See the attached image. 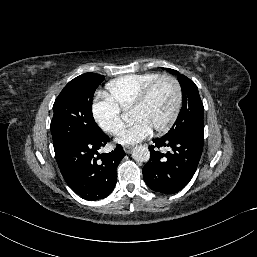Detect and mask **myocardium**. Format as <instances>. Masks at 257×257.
I'll return each instance as SVG.
<instances>
[{
  "label": "myocardium",
  "mask_w": 257,
  "mask_h": 257,
  "mask_svg": "<svg viewBox=\"0 0 257 257\" xmlns=\"http://www.w3.org/2000/svg\"><path fill=\"white\" fill-rule=\"evenodd\" d=\"M162 81H170L175 88V93H176V99H175V104L173 111L167 120V122L156 128L154 131L156 133H164L168 131L175 121L177 120V117L180 113L181 107H182V102H183V92H182V87L180 82L178 81L177 78L171 75H161L158 78H156L154 81H152L149 85H147L142 92L139 94L137 100L134 102V104L131 106L130 111H134L137 109H140L145 105V103L148 101L150 98L151 94L155 90V88L162 82Z\"/></svg>",
  "instance_id": "obj_1"
}]
</instances>
